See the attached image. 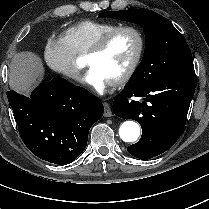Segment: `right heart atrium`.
<instances>
[{"mask_svg":"<svg viewBox=\"0 0 209 209\" xmlns=\"http://www.w3.org/2000/svg\"><path fill=\"white\" fill-rule=\"evenodd\" d=\"M44 59L54 72L73 81H81V66L64 36L51 35L47 38Z\"/></svg>","mask_w":209,"mask_h":209,"instance_id":"right-heart-atrium-1","label":"right heart atrium"}]
</instances>
